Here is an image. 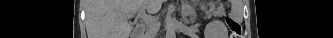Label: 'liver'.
<instances>
[{
	"label": "liver",
	"mask_w": 333,
	"mask_h": 38,
	"mask_svg": "<svg viewBox=\"0 0 333 38\" xmlns=\"http://www.w3.org/2000/svg\"><path fill=\"white\" fill-rule=\"evenodd\" d=\"M164 0H87L88 38H129L133 29L128 18L141 8L156 13Z\"/></svg>",
	"instance_id": "1"
}]
</instances>
